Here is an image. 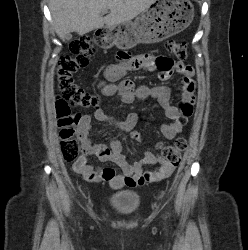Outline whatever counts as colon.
Masks as SVG:
<instances>
[{"mask_svg": "<svg viewBox=\"0 0 248 250\" xmlns=\"http://www.w3.org/2000/svg\"><path fill=\"white\" fill-rule=\"evenodd\" d=\"M166 49L178 59H184L188 54L187 44L184 42L169 40L166 42ZM94 52L95 39L87 35L81 36L72 41L69 53L61 57L57 68V81L61 96L56 102V115L60 129L62 156L66 162L78 165L86 161L81 154L77 139L76 127L80 118L75 110L96 109L100 104V100L98 96L83 89L74 80V75L89 64ZM120 57L125 59L127 55L123 54ZM185 111L190 115L192 108H186ZM133 136L136 139L140 138L138 132H134ZM186 146V140L180 137L171 145L159 144V149L164 160L174 168L179 165ZM162 175V171L156 173L157 177Z\"/></svg>", "mask_w": 248, "mask_h": 250, "instance_id": "5ec220e1", "label": "colon"}]
</instances>
